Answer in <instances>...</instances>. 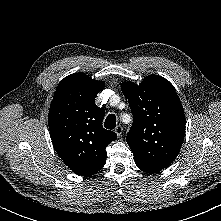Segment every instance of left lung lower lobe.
<instances>
[{
    "mask_svg": "<svg viewBox=\"0 0 221 221\" xmlns=\"http://www.w3.org/2000/svg\"><path fill=\"white\" fill-rule=\"evenodd\" d=\"M141 170L147 173H156L160 171L159 169H141Z\"/></svg>",
    "mask_w": 221,
    "mask_h": 221,
    "instance_id": "1",
    "label": "left lung lower lobe"
}]
</instances>
